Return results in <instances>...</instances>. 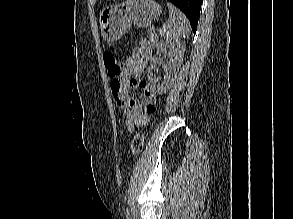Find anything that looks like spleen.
<instances>
[{
    "instance_id": "spleen-1",
    "label": "spleen",
    "mask_w": 293,
    "mask_h": 219,
    "mask_svg": "<svg viewBox=\"0 0 293 219\" xmlns=\"http://www.w3.org/2000/svg\"><path fill=\"white\" fill-rule=\"evenodd\" d=\"M169 21L160 29L161 36L173 41L188 38L190 25L186 16L171 3H167Z\"/></svg>"
}]
</instances>
